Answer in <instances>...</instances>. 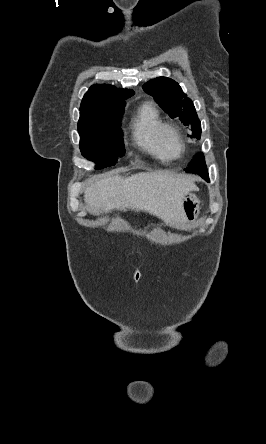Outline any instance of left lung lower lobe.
<instances>
[{
	"instance_id": "obj_1",
	"label": "left lung lower lobe",
	"mask_w": 266,
	"mask_h": 444,
	"mask_svg": "<svg viewBox=\"0 0 266 444\" xmlns=\"http://www.w3.org/2000/svg\"><path fill=\"white\" fill-rule=\"evenodd\" d=\"M185 171L199 174L204 179L209 180L204 156L202 154L196 156Z\"/></svg>"
}]
</instances>
